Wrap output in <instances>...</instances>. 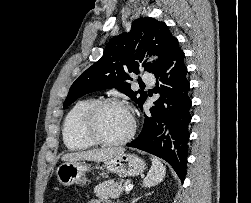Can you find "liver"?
<instances>
[{"mask_svg":"<svg viewBox=\"0 0 251 203\" xmlns=\"http://www.w3.org/2000/svg\"><path fill=\"white\" fill-rule=\"evenodd\" d=\"M124 151L123 148H104L93 149L81 152H71L62 156L61 160L66 162H75L80 160L105 162L115 154Z\"/></svg>","mask_w":251,"mask_h":203,"instance_id":"obj_1","label":"liver"}]
</instances>
